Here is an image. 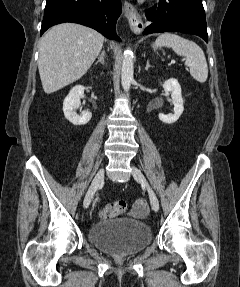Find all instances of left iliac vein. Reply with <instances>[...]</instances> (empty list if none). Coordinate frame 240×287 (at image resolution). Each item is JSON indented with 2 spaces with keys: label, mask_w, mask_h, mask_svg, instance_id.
<instances>
[{
  "label": "left iliac vein",
  "mask_w": 240,
  "mask_h": 287,
  "mask_svg": "<svg viewBox=\"0 0 240 287\" xmlns=\"http://www.w3.org/2000/svg\"><path fill=\"white\" fill-rule=\"evenodd\" d=\"M132 175L133 177L139 182L141 183L144 188L147 190L148 195H149V199H150V203L152 206V209L157 212L159 210V201L158 198L155 194V192L153 191V189L150 187V185L148 184L145 176L143 175V173L135 166L132 167Z\"/></svg>",
  "instance_id": "obj_1"
}]
</instances>
